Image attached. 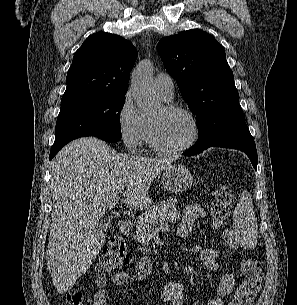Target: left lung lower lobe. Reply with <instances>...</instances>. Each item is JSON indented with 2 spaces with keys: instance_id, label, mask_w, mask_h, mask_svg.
<instances>
[{
  "instance_id": "1",
  "label": "left lung lower lobe",
  "mask_w": 297,
  "mask_h": 305,
  "mask_svg": "<svg viewBox=\"0 0 297 305\" xmlns=\"http://www.w3.org/2000/svg\"><path fill=\"white\" fill-rule=\"evenodd\" d=\"M209 147H223L243 151L257 170L258 157L256 145L245 121L226 130L214 141L203 138L199 146L194 145L184 155H196Z\"/></svg>"
}]
</instances>
